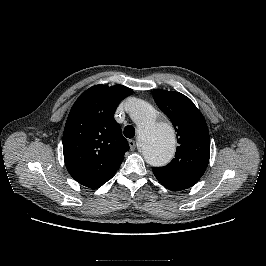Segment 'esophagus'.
<instances>
[{
    "label": "esophagus",
    "instance_id": "esophagus-1",
    "mask_svg": "<svg viewBox=\"0 0 266 266\" xmlns=\"http://www.w3.org/2000/svg\"><path fill=\"white\" fill-rule=\"evenodd\" d=\"M128 143H129L131 150H134L136 146L135 141L133 139H130L128 140Z\"/></svg>",
    "mask_w": 266,
    "mask_h": 266
}]
</instances>
